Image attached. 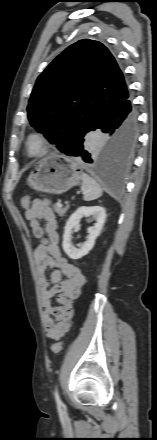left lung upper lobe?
Wrapping results in <instances>:
<instances>
[{
  "instance_id": "1",
  "label": "left lung upper lobe",
  "mask_w": 157,
  "mask_h": 440,
  "mask_svg": "<svg viewBox=\"0 0 157 440\" xmlns=\"http://www.w3.org/2000/svg\"><path fill=\"white\" fill-rule=\"evenodd\" d=\"M128 93L110 51L98 41L83 39L65 49L38 77L27 107L28 119L66 152Z\"/></svg>"
}]
</instances>
